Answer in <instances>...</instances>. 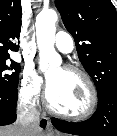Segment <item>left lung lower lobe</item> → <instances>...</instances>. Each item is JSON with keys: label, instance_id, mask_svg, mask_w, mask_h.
<instances>
[{"label": "left lung lower lobe", "instance_id": "obj_1", "mask_svg": "<svg viewBox=\"0 0 117 136\" xmlns=\"http://www.w3.org/2000/svg\"><path fill=\"white\" fill-rule=\"evenodd\" d=\"M60 131L79 136H117V83L98 96L96 112L86 121L67 122L53 119Z\"/></svg>", "mask_w": 117, "mask_h": 136}]
</instances>
